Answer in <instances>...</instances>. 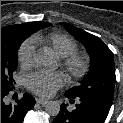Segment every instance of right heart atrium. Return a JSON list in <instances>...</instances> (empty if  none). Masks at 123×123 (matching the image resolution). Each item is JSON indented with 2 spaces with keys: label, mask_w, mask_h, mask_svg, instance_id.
Masks as SVG:
<instances>
[{
  "label": "right heart atrium",
  "mask_w": 123,
  "mask_h": 123,
  "mask_svg": "<svg viewBox=\"0 0 123 123\" xmlns=\"http://www.w3.org/2000/svg\"><path fill=\"white\" fill-rule=\"evenodd\" d=\"M35 54V43L32 39L26 40L18 52L19 63L22 67L27 68L33 64Z\"/></svg>",
  "instance_id": "d8ad5b80"
}]
</instances>
